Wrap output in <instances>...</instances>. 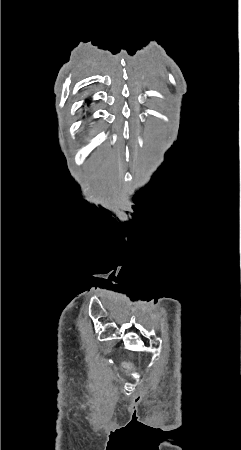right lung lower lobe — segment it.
<instances>
[{"mask_svg": "<svg viewBox=\"0 0 241 450\" xmlns=\"http://www.w3.org/2000/svg\"><path fill=\"white\" fill-rule=\"evenodd\" d=\"M90 104V101L89 100H87V105H89Z\"/></svg>", "mask_w": 241, "mask_h": 450, "instance_id": "1", "label": "right lung lower lobe"}]
</instances>
